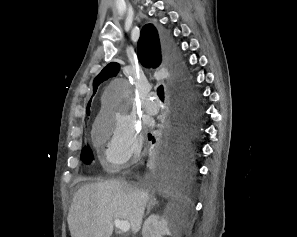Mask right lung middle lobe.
<instances>
[{"label": "right lung middle lobe", "instance_id": "right-lung-middle-lobe-1", "mask_svg": "<svg viewBox=\"0 0 297 237\" xmlns=\"http://www.w3.org/2000/svg\"><path fill=\"white\" fill-rule=\"evenodd\" d=\"M82 159L84 162L89 163L92 159V152L89 147H85L82 152Z\"/></svg>", "mask_w": 297, "mask_h": 237}]
</instances>
